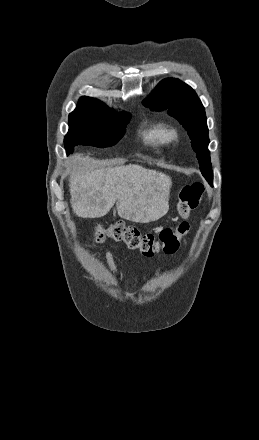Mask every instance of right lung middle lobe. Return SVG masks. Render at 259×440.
Returning a JSON list of instances; mask_svg holds the SVG:
<instances>
[{
  "label": "right lung middle lobe",
  "instance_id": "1",
  "mask_svg": "<svg viewBox=\"0 0 259 440\" xmlns=\"http://www.w3.org/2000/svg\"><path fill=\"white\" fill-rule=\"evenodd\" d=\"M130 114L118 115L109 108L77 106L69 115V131L64 138L68 153L76 145L110 147L123 136Z\"/></svg>",
  "mask_w": 259,
  "mask_h": 440
}]
</instances>
